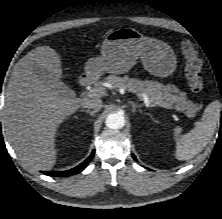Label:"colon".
I'll list each match as a JSON object with an SVG mask.
<instances>
[{"mask_svg": "<svg viewBox=\"0 0 222 219\" xmlns=\"http://www.w3.org/2000/svg\"><path fill=\"white\" fill-rule=\"evenodd\" d=\"M181 51L185 58V76L190 90L201 93L204 90L201 60L194 45L190 41L181 44Z\"/></svg>", "mask_w": 222, "mask_h": 219, "instance_id": "1", "label": "colon"}]
</instances>
